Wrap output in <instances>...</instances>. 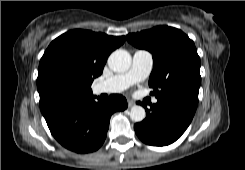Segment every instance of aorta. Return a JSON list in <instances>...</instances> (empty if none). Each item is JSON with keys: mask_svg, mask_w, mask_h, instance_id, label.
<instances>
[{"mask_svg": "<svg viewBox=\"0 0 245 170\" xmlns=\"http://www.w3.org/2000/svg\"><path fill=\"white\" fill-rule=\"evenodd\" d=\"M131 55L123 49L112 52L108 58V65L114 72H125L131 66ZM146 112L142 106L135 105L130 110V118L134 122H141L145 119Z\"/></svg>", "mask_w": 245, "mask_h": 170, "instance_id": "762f6f07", "label": "aorta"}]
</instances>
